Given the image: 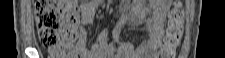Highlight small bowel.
Listing matches in <instances>:
<instances>
[{
    "mask_svg": "<svg viewBox=\"0 0 225 58\" xmlns=\"http://www.w3.org/2000/svg\"><path fill=\"white\" fill-rule=\"evenodd\" d=\"M101 3L102 0H91L82 4L81 27L76 43L77 58H151L156 55L161 43L166 13L171 4L170 0H157L150 3L149 7L152 16L143 21L148 34L137 49H134L131 44L123 43L120 40L122 28L132 21L130 16L122 18L112 32L113 40L117 45L116 50L107 45L108 33L105 30L98 33L90 48L86 46L88 38L86 27L93 23ZM133 4L134 2L131 1L125 2L127 9Z\"/></svg>",
    "mask_w": 225,
    "mask_h": 58,
    "instance_id": "1",
    "label": "small bowel"
}]
</instances>
